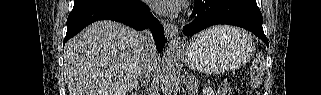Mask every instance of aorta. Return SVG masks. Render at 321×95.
I'll return each mask as SVG.
<instances>
[{
  "label": "aorta",
  "mask_w": 321,
  "mask_h": 95,
  "mask_svg": "<svg viewBox=\"0 0 321 95\" xmlns=\"http://www.w3.org/2000/svg\"><path fill=\"white\" fill-rule=\"evenodd\" d=\"M181 39L177 33L169 42L162 59L160 87L164 95L173 92L180 73Z\"/></svg>",
  "instance_id": "1"
}]
</instances>
